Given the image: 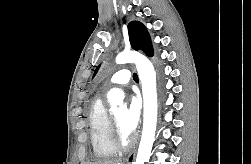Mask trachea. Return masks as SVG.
<instances>
[{"instance_id": "obj_1", "label": "trachea", "mask_w": 251, "mask_h": 164, "mask_svg": "<svg viewBox=\"0 0 251 164\" xmlns=\"http://www.w3.org/2000/svg\"><path fill=\"white\" fill-rule=\"evenodd\" d=\"M133 79H134L135 81H138V75H137L136 73L133 74Z\"/></svg>"}]
</instances>
